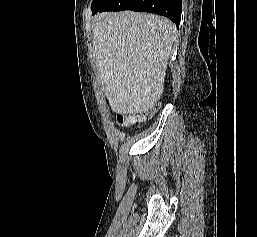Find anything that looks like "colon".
Wrapping results in <instances>:
<instances>
[{"label": "colon", "instance_id": "obj_1", "mask_svg": "<svg viewBox=\"0 0 257 237\" xmlns=\"http://www.w3.org/2000/svg\"><path fill=\"white\" fill-rule=\"evenodd\" d=\"M152 113V110H145L136 113H122L117 115L116 121L121 126H131L136 122L143 121L150 117Z\"/></svg>", "mask_w": 257, "mask_h": 237}]
</instances>
